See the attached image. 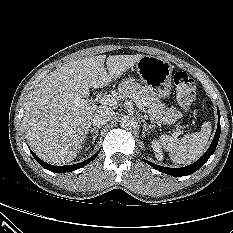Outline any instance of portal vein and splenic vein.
Wrapping results in <instances>:
<instances>
[{
    "instance_id": "portal-vein-and-splenic-vein-1",
    "label": "portal vein and splenic vein",
    "mask_w": 233,
    "mask_h": 233,
    "mask_svg": "<svg viewBox=\"0 0 233 233\" xmlns=\"http://www.w3.org/2000/svg\"><path fill=\"white\" fill-rule=\"evenodd\" d=\"M82 102H85V100H82ZM100 102L103 105H108V106H114L117 105L119 103V98L117 96H113V95H105L100 99ZM137 106L146 113L145 109L142 107V105L140 103H136Z\"/></svg>"
}]
</instances>
